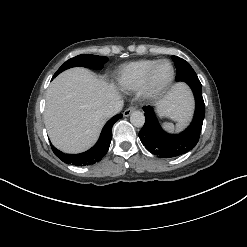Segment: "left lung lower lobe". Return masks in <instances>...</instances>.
Listing matches in <instances>:
<instances>
[{
    "instance_id": "obj_1",
    "label": "left lung lower lobe",
    "mask_w": 247,
    "mask_h": 247,
    "mask_svg": "<svg viewBox=\"0 0 247 247\" xmlns=\"http://www.w3.org/2000/svg\"><path fill=\"white\" fill-rule=\"evenodd\" d=\"M185 82L193 91L196 108L192 123L182 133L176 135L166 133L159 125L153 108H143L145 124L139 132V138L146 149L158 157L170 158L184 154L190 151L199 140L205 116L202 86L199 79H190Z\"/></svg>"
}]
</instances>
